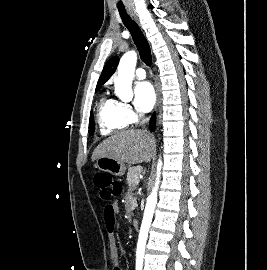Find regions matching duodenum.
Instances as JSON below:
<instances>
[{"instance_id":"duodenum-1","label":"duodenum","mask_w":267,"mask_h":270,"mask_svg":"<svg viewBox=\"0 0 267 270\" xmlns=\"http://www.w3.org/2000/svg\"><path fill=\"white\" fill-rule=\"evenodd\" d=\"M132 224H133V227H134L135 229H138V227H139V222H138V220L134 219L133 222H132Z\"/></svg>"}]
</instances>
